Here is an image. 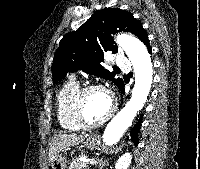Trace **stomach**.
<instances>
[{
    "label": "stomach",
    "instance_id": "1",
    "mask_svg": "<svg viewBox=\"0 0 200 169\" xmlns=\"http://www.w3.org/2000/svg\"><path fill=\"white\" fill-rule=\"evenodd\" d=\"M84 145L92 150L98 145V139L95 136H89ZM67 163V157L63 153H59L56 159L49 164L48 169H67Z\"/></svg>",
    "mask_w": 200,
    "mask_h": 169
}]
</instances>
